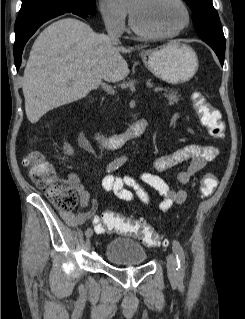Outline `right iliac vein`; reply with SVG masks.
I'll list each match as a JSON object with an SVG mask.
<instances>
[{
    "instance_id": "obj_1",
    "label": "right iliac vein",
    "mask_w": 245,
    "mask_h": 319,
    "mask_svg": "<svg viewBox=\"0 0 245 319\" xmlns=\"http://www.w3.org/2000/svg\"><path fill=\"white\" fill-rule=\"evenodd\" d=\"M93 234V233H92ZM92 234H86V238H87V244L89 245L90 244V237L92 236Z\"/></svg>"
}]
</instances>
